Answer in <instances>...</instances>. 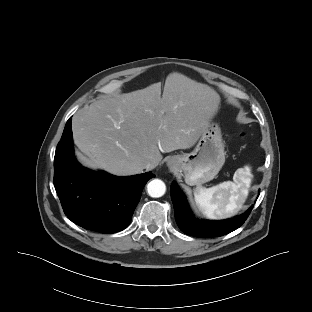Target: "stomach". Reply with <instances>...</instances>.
<instances>
[{
  "instance_id": "obj_1",
  "label": "stomach",
  "mask_w": 312,
  "mask_h": 312,
  "mask_svg": "<svg viewBox=\"0 0 312 312\" xmlns=\"http://www.w3.org/2000/svg\"><path fill=\"white\" fill-rule=\"evenodd\" d=\"M225 163L221 129L216 123H208L195 148L190 153L171 157L170 168L182 172L185 182L200 186L218 174Z\"/></svg>"
}]
</instances>
